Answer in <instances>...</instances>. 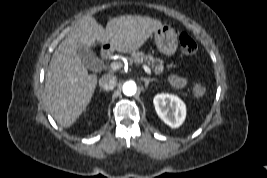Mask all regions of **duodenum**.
I'll use <instances>...</instances> for the list:
<instances>
[{
  "label": "duodenum",
  "instance_id": "1",
  "mask_svg": "<svg viewBox=\"0 0 267 178\" xmlns=\"http://www.w3.org/2000/svg\"><path fill=\"white\" fill-rule=\"evenodd\" d=\"M105 55H106V51L102 50V56H105Z\"/></svg>",
  "mask_w": 267,
  "mask_h": 178
}]
</instances>
